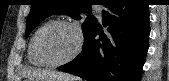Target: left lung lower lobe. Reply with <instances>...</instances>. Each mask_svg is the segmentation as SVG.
Returning a JSON list of instances; mask_svg holds the SVG:
<instances>
[{"instance_id":"obj_1","label":"left lung lower lobe","mask_w":169,"mask_h":81,"mask_svg":"<svg viewBox=\"0 0 169 81\" xmlns=\"http://www.w3.org/2000/svg\"><path fill=\"white\" fill-rule=\"evenodd\" d=\"M101 5L108 32L95 24L81 53L58 69L88 81H140L149 47L148 5L144 0H104Z\"/></svg>"}]
</instances>
